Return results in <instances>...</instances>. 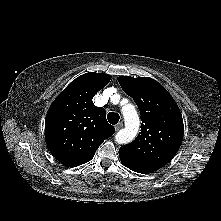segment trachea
I'll return each mask as SVG.
<instances>
[{
    "mask_svg": "<svg viewBox=\"0 0 221 221\" xmlns=\"http://www.w3.org/2000/svg\"><path fill=\"white\" fill-rule=\"evenodd\" d=\"M107 119L110 124L115 125L118 123L120 116L115 112H110L107 116Z\"/></svg>",
    "mask_w": 221,
    "mask_h": 221,
    "instance_id": "obj_1",
    "label": "trachea"
}]
</instances>
